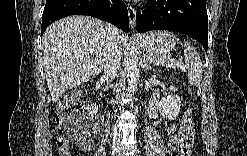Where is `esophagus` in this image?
I'll use <instances>...</instances> for the list:
<instances>
[{"instance_id":"obj_1","label":"esophagus","mask_w":247,"mask_h":156,"mask_svg":"<svg viewBox=\"0 0 247 156\" xmlns=\"http://www.w3.org/2000/svg\"><path fill=\"white\" fill-rule=\"evenodd\" d=\"M127 9H128L130 27L132 30H134L136 28V10L131 4L127 5Z\"/></svg>"}]
</instances>
